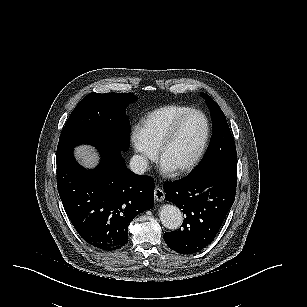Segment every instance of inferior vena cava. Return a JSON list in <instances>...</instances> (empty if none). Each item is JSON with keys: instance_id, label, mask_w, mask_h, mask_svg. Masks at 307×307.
<instances>
[{"instance_id": "inferior-vena-cava-1", "label": "inferior vena cava", "mask_w": 307, "mask_h": 307, "mask_svg": "<svg viewBox=\"0 0 307 307\" xmlns=\"http://www.w3.org/2000/svg\"><path fill=\"white\" fill-rule=\"evenodd\" d=\"M129 167L133 173L142 175L148 170V159L143 155H133L130 159Z\"/></svg>"}]
</instances>
